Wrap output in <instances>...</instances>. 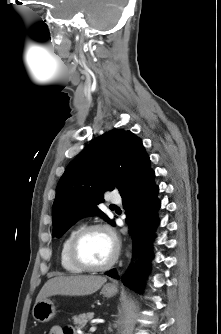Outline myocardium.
I'll use <instances>...</instances> for the list:
<instances>
[{"label":"myocardium","instance_id":"1","mask_svg":"<svg viewBox=\"0 0 221 334\" xmlns=\"http://www.w3.org/2000/svg\"><path fill=\"white\" fill-rule=\"evenodd\" d=\"M93 230L106 231L112 237L114 242V253L112 257L109 259V261H107L105 264L102 265H90L86 263L79 255L78 247L81 239L84 237L85 234ZM119 253H120V242L116 233L109 225L103 223H92L79 228L75 233V235L73 236L69 246V255L71 261L82 270L92 271V272L105 271L111 268L117 261Z\"/></svg>","mask_w":221,"mask_h":334}]
</instances>
